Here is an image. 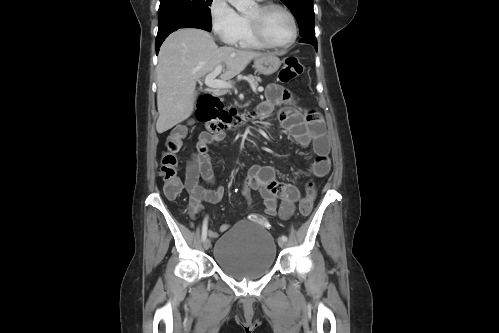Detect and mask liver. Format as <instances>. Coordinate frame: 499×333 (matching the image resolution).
Returning a JSON list of instances; mask_svg holds the SVG:
<instances>
[{
	"label": "liver",
	"mask_w": 499,
	"mask_h": 333,
	"mask_svg": "<svg viewBox=\"0 0 499 333\" xmlns=\"http://www.w3.org/2000/svg\"><path fill=\"white\" fill-rule=\"evenodd\" d=\"M265 53L218 47L213 37L197 28L179 29L162 44L157 65L156 123L158 133L166 132L188 119L194 110L196 82L224 63L221 80L238 75L251 62Z\"/></svg>",
	"instance_id": "obj_1"
}]
</instances>
